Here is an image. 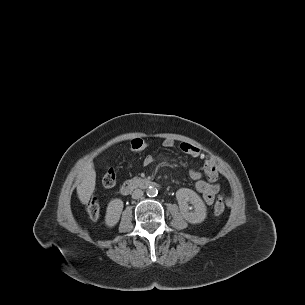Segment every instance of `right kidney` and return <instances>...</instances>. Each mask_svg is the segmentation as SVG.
Wrapping results in <instances>:
<instances>
[{"instance_id": "1", "label": "right kidney", "mask_w": 305, "mask_h": 305, "mask_svg": "<svg viewBox=\"0 0 305 305\" xmlns=\"http://www.w3.org/2000/svg\"><path fill=\"white\" fill-rule=\"evenodd\" d=\"M123 210V201L121 199H113L108 203L105 223L108 227L115 226L119 219Z\"/></svg>"}]
</instances>
